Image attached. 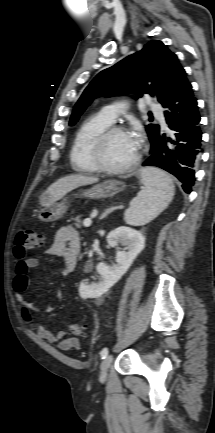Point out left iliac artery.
<instances>
[{
    "instance_id": "1",
    "label": "left iliac artery",
    "mask_w": 215,
    "mask_h": 433,
    "mask_svg": "<svg viewBox=\"0 0 215 433\" xmlns=\"http://www.w3.org/2000/svg\"><path fill=\"white\" fill-rule=\"evenodd\" d=\"M108 354V348H103L100 352L101 358L104 359Z\"/></svg>"
}]
</instances>
